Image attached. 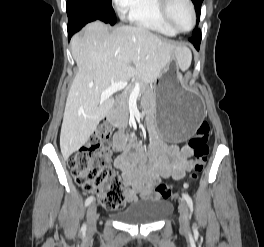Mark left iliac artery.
Here are the masks:
<instances>
[{"mask_svg":"<svg viewBox=\"0 0 264 247\" xmlns=\"http://www.w3.org/2000/svg\"><path fill=\"white\" fill-rule=\"evenodd\" d=\"M182 197L187 202L190 210L192 211L193 210V201H192L191 197L187 193H183Z\"/></svg>","mask_w":264,"mask_h":247,"instance_id":"44dca946","label":"left iliac artery"}]
</instances>
